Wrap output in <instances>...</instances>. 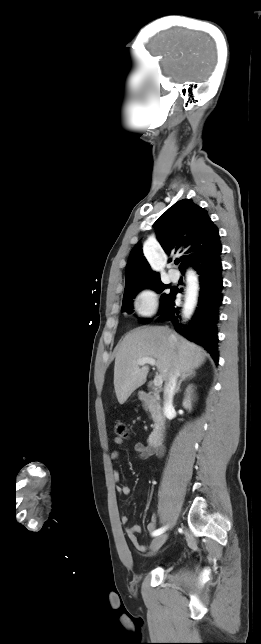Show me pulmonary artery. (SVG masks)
Here are the masks:
<instances>
[{
  "instance_id": "pulmonary-artery-1",
  "label": "pulmonary artery",
  "mask_w": 261,
  "mask_h": 644,
  "mask_svg": "<svg viewBox=\"0 0 261 644\" xmlns=\"http://www.w3.org/2000/svg\"><path fill=\"white\" fill-rule=\"evenodd\" d=\"M169 278L173 281L176 282L179 279V274L175 270H170L169 271Z\"/></svg>"
}]
</instances>
